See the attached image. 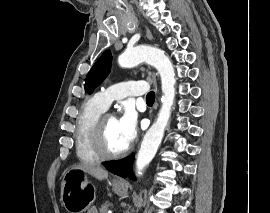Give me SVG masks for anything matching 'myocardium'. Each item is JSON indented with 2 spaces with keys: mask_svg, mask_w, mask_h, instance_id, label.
<instances>
[{
  "mask_svg": "<svg viewBox=\"0 0 270 213\" xmlns=\"http://www.w3.org/2000/svg\"><path fill=\"white\" fill-rule=\"evenodd\" d=\"M108 115H100L94 123L91 132V143L94 151L103 160H116L124 157L129 147H126L120 152H110L105 143V121Z\"/></svg>",
  "mask_w": 270,
  "mask_h": 213,
  "instance_id": "obj_1",
  "label": "myocardium"
}]
</instances>
